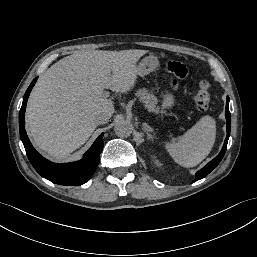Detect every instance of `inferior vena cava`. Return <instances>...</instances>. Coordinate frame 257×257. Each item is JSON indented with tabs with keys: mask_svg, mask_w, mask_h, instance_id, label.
<instances>
[{
	"mask_svg": "<svg viewBox=\"0 0 257 257\" xmlns=\"http://www.w3.org/2000/svg\"><path fill=\"white\" fill-rule=\"evenodd\" d=\"M110 115L109 114H99L96 117V123L97 124H105L109 121Z\"/></svg>",
	"mask_w": 257,
	"mask_h": 257,
	"instance_id": "602c4592",
	"label": "inferior vena cava"
}]
</instances>
